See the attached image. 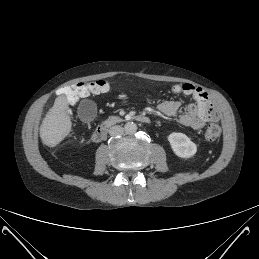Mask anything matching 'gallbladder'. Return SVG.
<instances>
[{
  "label": "gallbladder",
  "mask_w": 259,
  "mask_h": 259,
  "mask_svg": "<svg viewBox=\"0 0 259 259\" xmlns=\"http://www.w3.org/2000/svg\"><path fill=\"white\" fill-rule=\"evenodd\" d=\"M79 109V115L84 120H91L95 115V105L90 101L82 102Z\"/></svg>",
  "instance_id": "gallbladder-1"
}]
</instances>
